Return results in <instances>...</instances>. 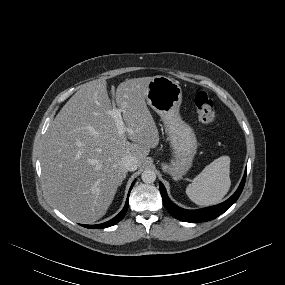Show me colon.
I'll return each instance as SVG.
<instances>
[{
  "instance_id": "5ec220e1",
  "label": "colon",
  "mask_w": 285,
  "mask_h": 285,
  "mask_svg": "<svg viewBox=\"0 0 285 285\" xmlns=\"http://www.w3.org/2000/svg\"><path fill=\"white\" fill-rule=\"evenodd\" d=\"M194 106L198 120L206 125H211L216 120L215 103L204 91L197 90L194 94Z\"/></svg>"
}]
</instances>
